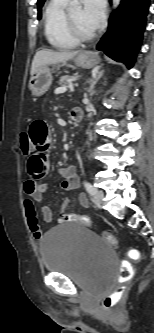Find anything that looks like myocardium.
<instances>
[{"label": "myocardium", "mask_w": 154, "mask_h": 333, "mask_svg": "<svg viewBox=\"0 0 154 333\" xmlns=\"http://www.w3.org/2000/svg\"><path fill=\"white\" fill-rule=\"evenodd\" d=\"M65 22L69 33L78 42L90 41L96 36V33L94 31L91 33H84L83 31H81L80 28L73 21L69 10L65 11Z\"/></svg>", "instance_id": "obj_1"}]
</instances>
